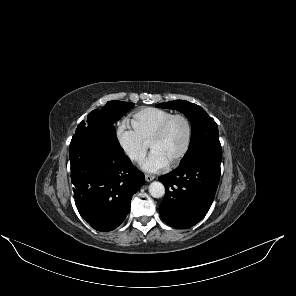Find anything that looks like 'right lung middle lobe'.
<instances>
[{"mask_svg":"<svg viewBox=\"0 0 296 296\" xmlns=\"http://www.w3.org/2000/svg\"><path fill=\"white\" fill-rule=\"evenodd\" d=\"M134 103L123 101H110L101 109L93 110L87 117V122L82 121L77 128L93 127L116 137L114 123L118 121Z\"/></svg>","mask_w":296,"mask_h":296,"instance_id":"right-lung-middle-lobe-1","label":"right lung middle lobe"}]
</instances>
